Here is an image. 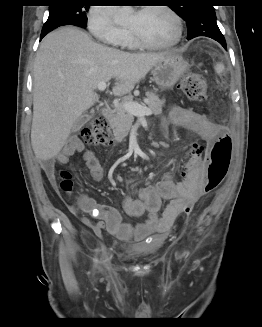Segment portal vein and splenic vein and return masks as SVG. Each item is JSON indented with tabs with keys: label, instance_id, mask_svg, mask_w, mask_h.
<instances>
[{
	"label": "portal vein and splenic vein",
	"instance_id": "18ae733b",
	"mask_svg": "<svg viewBox=\"0 0 262 327\" xmlns=\"http://www.w3.org/2000/svg\"><path fill=\"white\" fill-rule=\"evenodd\" d=\"M107 87L106 82H101L97 85L99 91H104ZM120 107L124 108L128 113L135 115V116H149L152 115V110L147 108L144 105H141L137 102L126 101L120 105Z\"/></svg>",
	"mask_w": 262,
	"mask_h": 327
}]
</instances>
